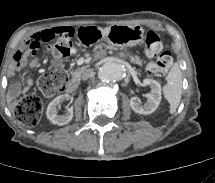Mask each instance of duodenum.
Masks as SVG:
<instances>
[{"mask_svg": "<svg viewBox=\"0 0 215 183\" xmlns=\"http://www.w3.org/2000/svg\"><path fill=\"white\" fill-rule=\"evenodd\" d=\"M77 87V82L76 81H71L66 87V92L71 93L73 92Z\"/></svg>", "mask_w": 215, "mask_h": 183, "instance_id": "duodenum-1", "label": "duodenum"}]
</instances>
